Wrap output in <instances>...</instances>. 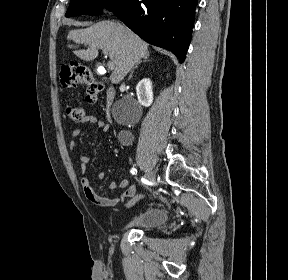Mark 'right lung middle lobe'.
I'll use <instances>...</instances> for the list:
<instances>
[{
    "label": "right lung middle lobe",
    "mask_w": 288,
    "mask_h": 280,
    "mask_svg": "<svg viewBox=\"0 0 288 280\" xmlns=\"http://www.w3.org/2000/svg\"><path fill=\"white\" fill-rule=\"evenodd\" d=\"M105 2L106 7L111 11L121 6L125 0H71L66 17L77 15H95L98 16Z\"/></svg>",
    "instance_id": "right-lung-middle-lobe-1"
}]
</instances>
